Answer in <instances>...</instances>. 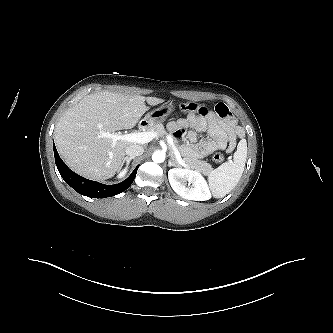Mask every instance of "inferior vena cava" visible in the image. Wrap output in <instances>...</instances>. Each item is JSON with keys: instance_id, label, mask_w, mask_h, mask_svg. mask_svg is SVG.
<instances>
[{"instance_id": "obj_1", "label": "inferior vena cava", "mask_w": 333, "mask_h": 333, "mask_svg": "<svg viewBox=\"0 0 333 333\" xmlns=\"http://www.w3.org/2000/svg\"><path fill=\"white\" fill-rule=\"evenodd\" d=\"M125 152H126V155H128L129 157H136V156L142 155L144 152V149L142 146H140L138 144H131L126 148Z\"/></svg>"}]
</instances>
